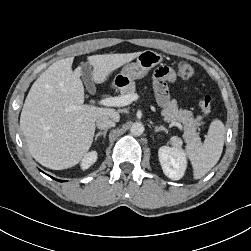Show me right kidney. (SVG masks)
I'll return each instance as SVG.
<instances>
[{
    "instance_id": "obj_1",
    "label": "right kidney",
    "mask_w": 251,
    "mask_h": 251,
    "mask_svg": "<svg viewBox=\"0 0 251 251\" xmlns=\"http://www.w3.org/2000/svg\"><path fill=\"white\" fill-rule=\"evenodd\" d=\"M97 160V152L96 151H91L87 153L81 162V168L83 170L88 169L92 164H94Z\"/></svg>"
}]
</instances>
